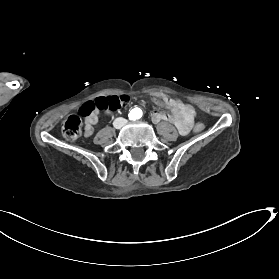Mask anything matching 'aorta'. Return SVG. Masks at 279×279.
Instances as JSON below:
<instances>
[{"label":"aorta","instance_id":"762f6f07","mask_svg":"<svg viewBox=\"0 0 279 279\" xmlns=\"http://www.w3.org/2000/svg\"><path fill=\"white\" fill-rule=\"evenodd\" d=\"M129 115L132 119H138L139 117H141L142 111L139 108H134L131 110Z\"/></svg>","mask_w":279,"mask_h":279}]
</instances>
